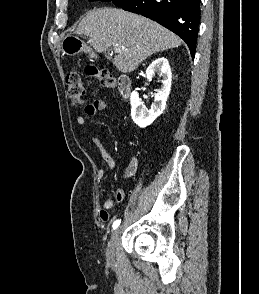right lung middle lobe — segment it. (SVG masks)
Wrapping results in <instances>:
<instances>
[{"instance_id":"obj_1","label":"right lung middle lobe","mask_w":259,"mask_h":294,"mask_svg":"<svg viewBox=\"0 0 259 294\" xmlns=\"http://www.w3.org/2000/svg\"><path fill=\"white\" fill-rule=\"evenodd\" d=\"M94 1V0H89ZM98 1V0H95ZM101 1H112L117 7H120L122 4H124L128 0H101Z\"/></svg>"}]
</instances>
